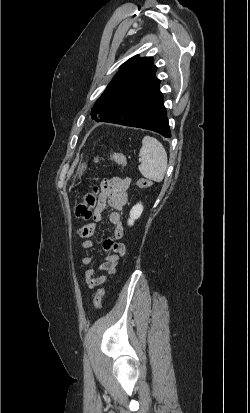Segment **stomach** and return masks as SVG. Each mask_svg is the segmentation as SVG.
Segmentation results:
<instances>
[{
  "label": "stomach",
  "mask_w": 250,
  "mask_h": 413,
  "mask_svg": "<svg viewBox=\"0 0 250 413\" xmlns=\"http://www.w3.org/2000/svg\"><path fill=\"white\" fill-rule=\"evenodd\" d=\"M86 168H87L86 163L80 164L75 177L80 178L83 175V172L85 171Z\"/></svg>",
  "instance_id": "0dacf381"
}]
</instances>
